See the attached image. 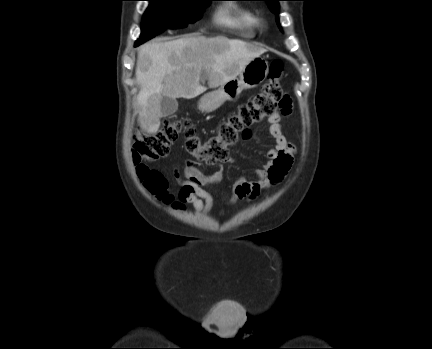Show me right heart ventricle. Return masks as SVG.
Listing matches in <instances>:
<instances>
[{
  "label": "right heart ventricle",
  "instance_id": "1",
  "mask_svg": "<svg viewBox=\"0 0 432 349\" xmlns=\"http://www.w3.org/2000/svg\"><path fill=\"white\" fill-rule=\"evenodd\" d=\"M219 21L238 30L244 37L252 36L259 25L257 15L242 8H234L230 13L221 15Z\"/></svg>",
  "mask_w": 432,
  "mask_h": 349
}]
</instances>
